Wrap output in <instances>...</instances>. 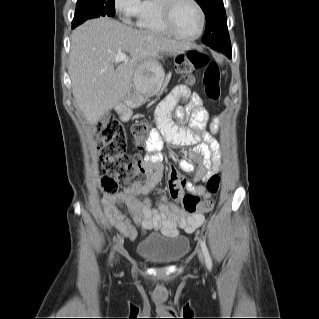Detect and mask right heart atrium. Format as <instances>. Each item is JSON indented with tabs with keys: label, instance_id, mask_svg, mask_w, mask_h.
I'll list each match as a JSON object with an SVG mask.
<instances>
[{
	"label": "right heart atrium",
	"instance_id": "right-heart-atrium-1",
	"mask_svg": "<svg viewBox=\"0 0 319 319\" xmlns=\"http://www.w3.org/2000/svg\"><path fill=\"white\" fill-rule=\"evenodd\" d=\"M113 5L121 19L130 22L137 17L141 0H114Z\"/></svg>",
	"mask_w": 319,
	"mask_h": 319
}]
</instances>
